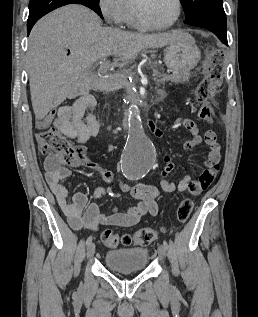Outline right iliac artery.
Segmentation results:
<instances>
[{"instance_id": "obj_1", "label": "right iliac artery", "mask_w": 258, "mask_h": 317, "mask_svg": "<svg viewBox=\"0 0 258 317\" xmlns=\"http://www.w3.org/2000/svg\"><path fill=\"white\" fill-rule=\"evenodd\" d=\"M92 242V236H89L86 240V245H89Z\"/></svg>"}]
</instances>
